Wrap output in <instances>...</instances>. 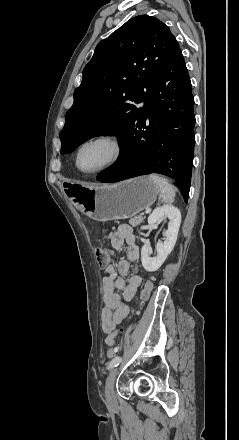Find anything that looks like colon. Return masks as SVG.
Listing matches in <instances>:
<instances>
[{
    "mask_svg": "<svg viewBox=\"0 0 239 440\" xmlns=\"http://www.w3.org/2000/svg\"><path fill=\"white\" fill-rule=\"evenodd\" d=\"M96 256H97V260L100 264V266H107L110 262L111 259V253L108 249L106 248H97L96 249ZM153 288V284H152V280H148L145 285L144 288L140 294V304H144V302L149 298V295L152 291ZM117 352V347H110L107 349L106 351V355L107 357L111 358L113 356H115Z\"/></svg>",
    "mask_w": 239,
    "mask_h": 440,
    "instance_id": "obj_1",
    "label": "colon"
}]
</instances>
